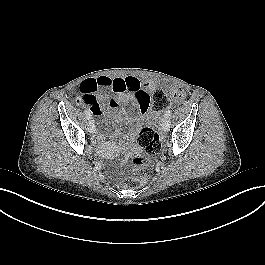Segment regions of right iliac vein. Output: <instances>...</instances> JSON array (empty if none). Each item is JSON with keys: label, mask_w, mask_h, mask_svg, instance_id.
Instances as JSON below:
<instances>
[{"label": "right iliac vein", "mask_w": 265, "mask_h": 265, "mask_svg": "<svg viewBox=\"0 0 265 265\" xmlns=\"http://www.w3.org/2000/svg\"><path fill=\"white\" fill-rule=\"evenodd\" d=\"M87 130H88L89 133H94V132H95V126H94L92 120H90V121L88 122Z\"/></svg>", "instance_id": "63e3f726"}]
</instances>
